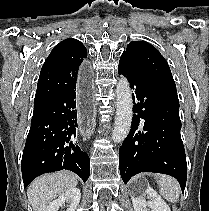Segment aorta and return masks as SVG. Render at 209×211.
<instances>
[{
	"label": "aorta",
	"mask_w": 209,
	"mask_h": 211,
	"mask_svg": "<svg viewBox=\"0 0 209 211\" xmlns=\"http://www.w3.org/2000/svg\"><path fill=\"white\" fill-rule=\"evenodd\" d=\"M117 111L111 139L115 143L123 141L129 134L133 110L132 94L129 83L124 76H121L116 87Z\"/></svg>",
	"instance_id": "1"
}]
</instances>
